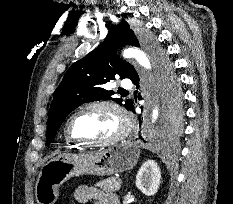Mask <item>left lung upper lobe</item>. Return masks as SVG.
Returning a JSON list of instances; mask_svg holds the SVG:
<instances>
[{"label": "left lung upper lobe", "instance_id": "5c2ea615", "mask_svg": "<svg viewBox=\"0 0 233 204\" xmlns=\"http://www.w3.org/2000/svg\"><path fill=\"white\" fill-rule=\"evenodd\" d=\"M153 54L161 71L165 97V120L179 128L182 116L181 93L177 88V79L173 74L171 64L164 51L154 40L143 38ZM139 47V41L126 21L112 26L104 42L75 62L66 72L60 85L53 94V100L48 112L46 145H48L64 119L80 104L98 100H113L126 109L131 100L123 103L121 98H113V91L106 90L104 85L115 76L120 79L131 78L136 73L135 68L123 61L116 54L118 48L124 45Z\"/></svg>", "mask_w": 233, "mask_h": 204}]
</instances>
